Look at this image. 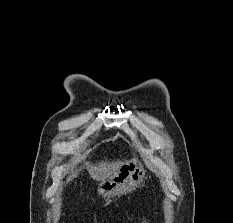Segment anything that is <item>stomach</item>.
<instances>
[{"instance_id":"1","label":"stomach","mask_w":233,"mask_h":223,"mask_svg":"<svg viewBox=\"0 0 233 223\" xmlns=\"http://www.w3.org/2000/svg\"><path fill=\"white\" fill-rule=\"evenodd\" d=\"M146 175V169L139 157H131L122 161L119 167L109 175V177H103L97 183V193L101 197H121L129 191L136 189Z\"/></svg>"}]
</instances>
